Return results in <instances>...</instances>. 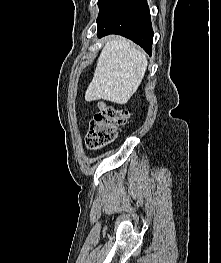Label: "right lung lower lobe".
Masks as SVG:
<instances>
[{"mask_svg": "<svg viewBox=\"0 0 221 263\" xmlns=\"http://www.w3.org/2000/svg\"><path fill=\"white\" fill-rule=\"evenodd\" d=\"M99 37L119 34L151 55L153 30L147 0H113L97 19Z\"/></svg>", "mask_w": 221, "mask_h": 263, "instance_id": "right-lung-lower-lobe-1", "label": "right lung lower lobe"}]
</instances>
